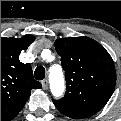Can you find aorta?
Returning a JSON list of instances; mask_svg holds the SVG:
<instances>
[{
	"label": "aorta",
	"instance_id": "obj_1",
	"mask_svg": "<svg viewBox=\"0 0 121 121\" xmlns=\"http://www.w3.org/2000/svg\"><path fill=\"white\" fill-rule=\"evenodd\" d=\"M49 80L53 96L55 97L61 96L64 92L65 81L60 66H53L52 68H50Z\"/></svg>",
	"mask_w": 121,
	"mask_h": 121
}]
</instances>
